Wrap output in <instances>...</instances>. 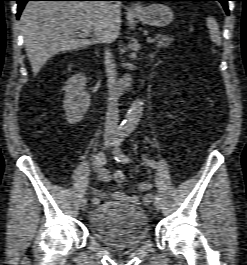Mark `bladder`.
Segmentation results:
<instances>
[{"mask_svg":"<svg viewBox=\"0 0 247 265\" xmlns=\"http://www.w3.org/2000/svg\"><path fill=\"white\" fill-rule=\"evenodd\" d=\"M88 225L98 242L117 249L141 244L150 232L149 218L142 207L118 201L99 203L90 212Z\"/></svg>","mask_w":247,"mask_h":265,"instance_id":"31cf9c89","label":"bladder"}]
</instances>
